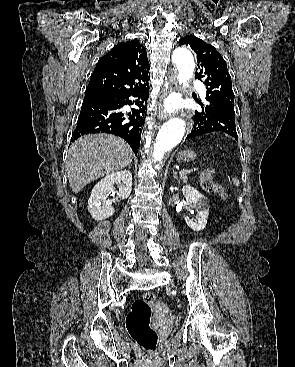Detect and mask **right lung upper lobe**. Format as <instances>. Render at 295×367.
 <instances>
[{"mask_svg":"<svg viewBox=\"0 0 295 367\" xmlns=\"http://www.w3.org/2000/svg\"><path fill=\"white\" fill-rule=\"evenodd\" d=\"M149 63L146 49L137 40L119 43L96 65L87 90L120 94L148 88Z\"/></svg>","mask_w":295,"mask_h":367,"instance_id":"cb5924a9","label":"right lung upper lobe"}]
</instances>
